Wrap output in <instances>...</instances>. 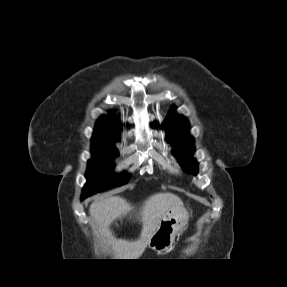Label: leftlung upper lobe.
I'll return each mask as SVG.
<instances>
[{"label":"left lung upper lobe","mask_w":287,"mask_h":287,"mask_svg":"<svg viewBox=\"0 0 287 287\" xmlns=\"http://www.w3.org/2000/svg\"><path fill=\"white\" fill-rule=\"evenodd\" d=\"M169 125L167 138L173 144V153L186 172L197 174L198 163L193 158L194 139L188 135V120L171 110L163 125Z\"/></svg>","instance_id":"5c2ea615"}]
</instances>
